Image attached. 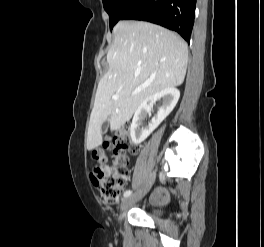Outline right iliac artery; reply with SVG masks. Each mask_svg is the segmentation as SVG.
<instances>
[{
	"mask_svg": "<svg viewBox=\"0 0 264 247\" xmlns=\"http://www.w3.org/2000/svg\"><path fill=\"white\" fill-rule=\"evenodd\" d=\"M131 193H132L131 190H127V191L124 193V197H128V196H130Z\"/></svg>",
	"mask_w": 264,
	"mask_h": 247,
	"instance_id": "82829eb1",
	"label": "right iliac artery"
}]
</instances>
